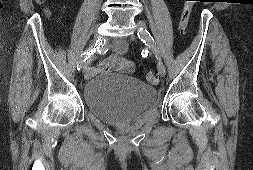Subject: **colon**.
I'll return each mask as SVG.
<instances>
[{
    "label": "colon",
    "mask_w": 253,
    "mask_h": 170,
    "mask_svg": "<svg viewBox=\"0 0 253 170\" xmlns=\"http://www.w3.org/2000/svg\"><path fill=\"white\" fill-rule=\"evenodd\" d=\"M36 1L38 3H42L44 0H36ZM192 1H194V0H186L185 4L183 6V9H182V14H181L180 21H179V29L182 34H184L186 32V29L189 24L190 15L193 10ZM117 61H121L123 63L121 70L115 68V64ZM100 69L103 71H107L110 69H116V70H119L122 72H131L134 69V65L126 63L124 60L120 59L119 57L113 56V57L109 58L108 60H106L105 62H103L100 65ZM146 80L152 84L158 83L159 78H158L157 72H155V71L147 72L146 73Z\"/></svg>",
    "instance_id": "5ec220e1"
}]
</instances>
